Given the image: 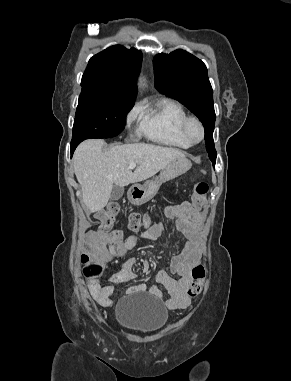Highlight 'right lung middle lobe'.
Masks as SVG:
<instances>
[{
	"label": "right lung middle lobe",
	"mask_w": 291,
	"mask_h": 381,
	"mask_svg": "<svg viewBox=\"0 0 291 381\" xmlns=\"http://www.w3.org/2000/svg\"><path fill=\"white\" fill-rule=\"evenodd\" d=\"M134 100L106 93L81 92L74 119L72 143L89 138H110L124 128L127 112Z\"/></svg>",
	"instance_id": "right-lung-middle-lobe-1"
}]
</instances>
